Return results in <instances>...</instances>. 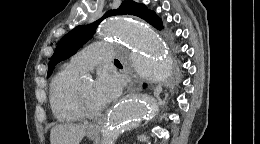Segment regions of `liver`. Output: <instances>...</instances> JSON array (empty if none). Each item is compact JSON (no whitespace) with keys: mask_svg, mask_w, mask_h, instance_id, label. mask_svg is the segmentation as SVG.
<instances>
[{"mask_svg":"<svg viewBox=\"0 0 260 144\" xmlns=\"http://www.w3.org/2000/svg\"><path fill=\"white\" fill-rule=\"evenodd\" d=\"M88 125L66 123L54 126L50 132V144H80Z\"/></svg>","mask_w":260,"mask_h":144,"instance_id":"1","label":"liver"}]
</instances>
